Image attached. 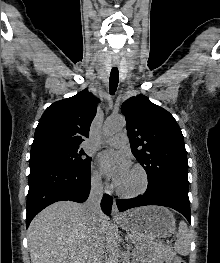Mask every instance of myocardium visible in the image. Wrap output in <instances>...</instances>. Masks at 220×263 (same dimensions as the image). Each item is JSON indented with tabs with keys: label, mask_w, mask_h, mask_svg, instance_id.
Masks as SVG:
<instances>
[{
	"label": "myocardium",
	"mask_w": 220,
	"mask_h": 263,
	"mask_svg": "<svg viewBox=\"0 0 220 263\" xmlns=\"http://www.w3.org/2000/svg\"><path fill=\"white\" fill-rule=\"evenodd\" d=\"M132 168L140 173L141 178H142V184L140 188L134 191H125V190L120 189L118 186H116V193L123 198L130 199V198H136L138 196H141L147 191L148 186H149V176L145 168L139 164L133 165Z\"/></svg>",
	"instance_id": "f54148a6"
}]
</instances>
